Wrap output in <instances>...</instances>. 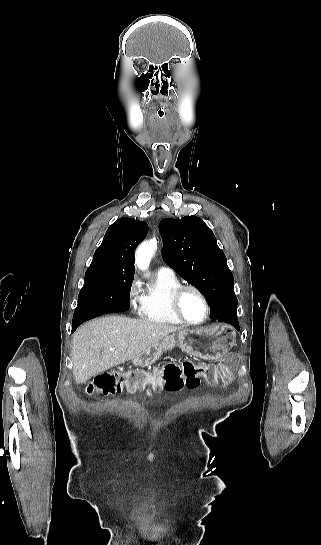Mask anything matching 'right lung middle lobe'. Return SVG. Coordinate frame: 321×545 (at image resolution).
<instances>
[{
  "label": "right lung middle lobe",
  "instance_id": "dd1d6c3e",
  "mask_svg": "<svg viewBox=\"0 0 321 545\" xmlns=\"http://www.w3.org/2000/svg\"><path fill=\"white\" fill-rule=\"evenodd\" d=\"M133 278V274H112L103 270L86 271L73 321L92 319L108 313L111 303L121 296L130 294Z\"/></svg>",
  "mask_w": 321,
  "mask_h": 545
}]
</instances>
